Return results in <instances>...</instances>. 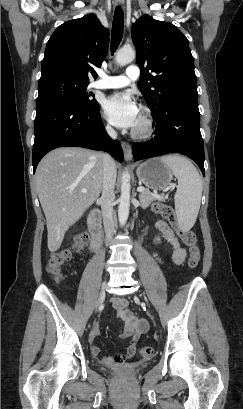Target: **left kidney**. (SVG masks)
Segmentation results:
<instances>
[{
    "label": "left kidney",
    "instance_id": "1",
    "mask_svg": "<svg viewBox=\"0 0 243 409\" xmlns=\"http://www.w3.org/2000/svg\"><path fill=\"white\" fill-rule=\"evenodd\" d=\"M154 242H155V243H160V238H155V239H154Z\"/></svg>",
    "mask_w": 243,
    "mask_h": 409
}]
</instances>
